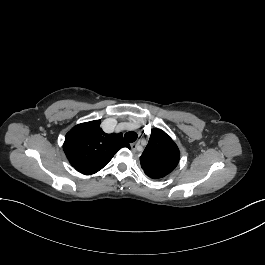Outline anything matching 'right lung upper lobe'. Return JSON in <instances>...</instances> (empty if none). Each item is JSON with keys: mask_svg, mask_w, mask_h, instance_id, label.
Segmentation results:
<instances>
[{"mask_svg": "<svg viewBox=\"0 0 265 265\" xmlns=\"http://www.w3.org/2000/svg\"><path fill=\"white\" fill-rule=\"evenodd\" d=\"M100 120L78 124L65 137L64 152L80 173L90 175L106 166L122 147L130 148L122 133L107 134Z\"/></svg>", "mask_w": 265, "mask_h": 265, "instance_id": "1", "label": "right lung upper lobe"}]
</instances>
